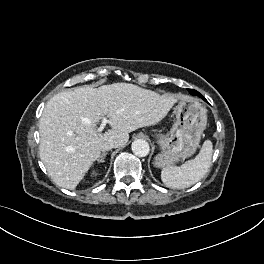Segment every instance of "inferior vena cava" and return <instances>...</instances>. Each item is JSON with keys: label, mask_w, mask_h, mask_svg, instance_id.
Returning <instances> with one entry per match:
<instances>
[{"label": "inferior vena cava", "mask_w": 264, "mask_h": 264, "mask_svg": "<svg viewBox=\"0 0 264 264\" xmlns=\"http://www.w3.org/2000/svg\"><path fill=\"white\" fill-rule=\"evenodd\" d=\"M116 147H118V145H117V142L114 140H106L105 142L101 144L102 151L111 150Z\"/></svg>", "instance_id": "inferior-vena-cava-1"}]
</instances>
